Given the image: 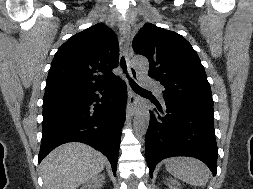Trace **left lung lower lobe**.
<instances>
[{
    "mask_svg": "<svg viewBox=\"0 0 253 189\" xmlns=\"http://www.w3.org/2000/svg\"><path fill=\"white\" fill-rule=\"evenodd\" d=\"M150 111V123L145 138V154L150 176L162 159L171 156H191L203 161L216 175L217 144L213 109L184 100L163 97L164 109Z\"/></svg>",
    "mask_w": 253,
    "mask_h": 189,
    "instance_id": "1",
    "label": "left lung lower lobe"
}]
</instances>
